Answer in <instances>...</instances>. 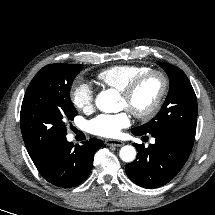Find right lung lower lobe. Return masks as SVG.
Here are the masks:
<instances>
[{
    "label": "right lung lower lobe",
    "instance_id": "obj_1",
    "mask_svg": "<svg viewBox=\"0 0 215 215\" xmlns=\"http://www.w3.org/2000/svg\"><path fill=\"white\" fill-rule=\"evenodd\" d=\"M102 145V140L91 138L81 146H74L65 138L47 150L34 164L40 174L53 185L74 187L89 175L94 154Z\"/></svg>",
    "mask_w": 215,
    "mask_h": 215
}]
</instances>
